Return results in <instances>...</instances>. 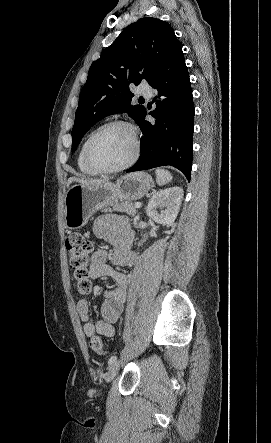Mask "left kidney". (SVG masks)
Masks as SVG:
<instances>
[{
  "label": "left kidney",
  "instance_id": "left-kidney-1",
  "mask_svg": "<svg viewBox=\"0 0 271 443\" xmlns=\"http://www.w3.org/2000/svg\"><path fill=\"white\" fill-rule=\"evenodd\" d=\"M182 188H167V190H160L157 194L152 196L147 208V216L156 223H163V225H173L174 220L180 210V204L183 198ZM160 210V212H157Z\"/></svg>",
  "mask_w": 271,
  "mask_h": 443
}]
</instances>
